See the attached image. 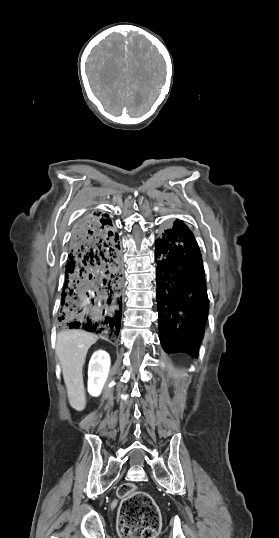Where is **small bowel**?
Masks as SVG:
<instances>
[{
    "label": "small bowel",
    "mask_w": 279,
    "mask_h": 538,
    "mask_svg": "<svg viewBox=\"0 0 279 538\" xmlns=\"http://www.w3.org/2000/svg\"><path fill=\"white\" fill-rule=\"evenodd\" d=\"M115 504H116V503L114 502V503H113V506H115Z\"/></svg>",
    "instance_id": "obj_1"
}]
</instances>
